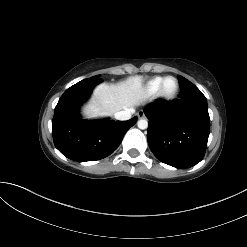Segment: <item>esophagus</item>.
I'll list each match as a JSON object with an SVG mask.
<instances>
[{
    "mask_svg": "<svg viewBox=\"0 0 247 247\" xmlns=\"http://www.w3.org/2000/svg\"><path fill=\"white\" fill-rule=\"evenodd\" d=\"M137 115L139 118H145V113L143 111H139Z\"/></svg>",
    "mask_w": 247,
    "mask_h": 247,
    "instance_id": "34e87169",
    "label": "esophagus"
}]
</instances>
